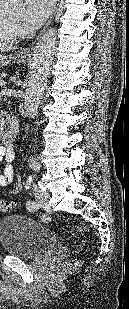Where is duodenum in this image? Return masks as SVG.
Masks as SVG:
<instances>
[{"label": "duodenum", "mask_w": 129, "mask_h": 309, "mask_svg": "<svg viewBox=\"0 0 129 309\" xmlns=\"http://www.w3.org/2000/svg\"><path fill=\"white\" fill-rule=\"evenodd\" d=\"M16 135H17L16 124L14 120H10L7 129L3 133V141L5 143V146L11 147L15 142Z\"/></svg>", "instance_id": "duodenum-1"}]
</instances>
